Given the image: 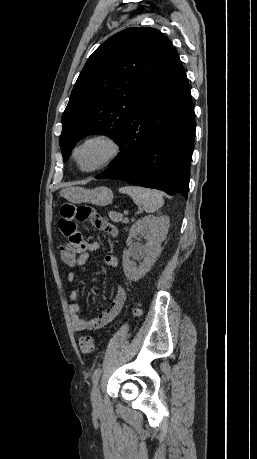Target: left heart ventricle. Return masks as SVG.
<instances>
[{
  "label": "left heart ventricle",
  "instance_id": "b2bd125f",
  "mask_svg": "<svg viewBox=\"0 0 257 459\" xmlns=\"http://www.w3.org/2000/svg\"><path fill=\"white\" fill-rule=\"evenodd\" d=\"M109 148L103 143H90L77 152V160L82 168H91L107 156Z\"/></svg>",
  "mask_w": 257,
  "mask_h": 459
}]
</instances>
